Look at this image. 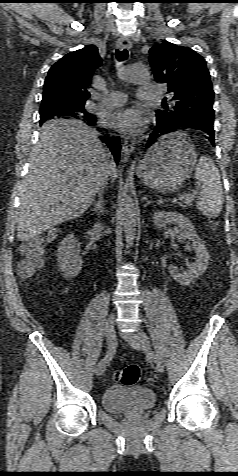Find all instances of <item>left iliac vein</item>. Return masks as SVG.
Returning a JSON list of instances; mask_svg holds the SVG:
<instances>
[{
  "label": "left iliac vein",
  "mask_w": 238,
  "mask_h": 476,
  "mask_svg": "<svg viewBox=\"0 0 238 476\" xmlns=\"http://www.w3.org/2000/svg\"><path fill=\"white\" fill-rule=\"evenodd\" d=\"M121 335H122L123 339L134 349L147 351L149 356L153 359L157 370L160 373H162L164 371V364H163V361H162L161 357L158 354H156L152 351H148L147 346L145 345V343L143 342V340L141 339V337L137 333H135V332L121 333Z\"/></svg>",
  "instance_id": "obj_1"
}]
</instances>
